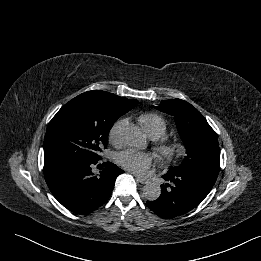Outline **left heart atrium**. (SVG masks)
<instances>
[{"label":"left heart atrium","instance_id":"39dd6f15","mask_svg":"<svg viewBox=\"0 0 261 261\" xmlns=\"http://www.w3.org/2000/svg\"><path fill=\"white\" fill-rule=\"evenodd\" d=\"M116 160L124 169L135 174H144L153 164L154 156L150 153L127 149L118 153Z\"/></svg>","mask_w":261,"mask_h":261}]
</instances>
